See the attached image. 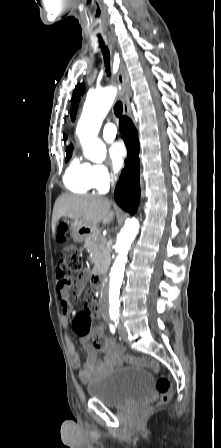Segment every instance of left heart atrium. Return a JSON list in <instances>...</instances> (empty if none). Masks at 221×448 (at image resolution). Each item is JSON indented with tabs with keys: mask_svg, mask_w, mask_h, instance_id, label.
<instances>
[{
	"mask_svg": "<svg viewBox=\"0 0 221 448\" xmlns=\"http://www.w3.org/2000/svg\"><path fill=\"white\" fill-rule=\"evenodd\" d=\"M109 157L113 168L118 171L125 160L126 148L122 142H114L109 148Z\"/></svg>",
	"mask_w": 221,
	"mask_h": 448,
	"instance_id": "39dd6f15",
	"label": "left heart atrium"
}]
</instances>
